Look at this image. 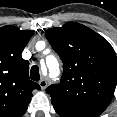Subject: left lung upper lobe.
I'll return each mask as SVG.
<instances>
[{
	"label": "left lung upper lobe",
	"instance_id": "1",
	"mask_svg": "<svg viewBox=\"0 0 117 117\" xmlns=\"http://www.w3.org/2000/svg\"><path fill=\"white\" fill-rule=\"evenodd\" d=\"M45 36L64 65L60 83L46 89L55 111L61 117H98L116 87L114 49L101 35L76 22L49 28Z\"/></svg>",
	"mask_w": 117,
	"mask_h": 117
}]
</instances>
